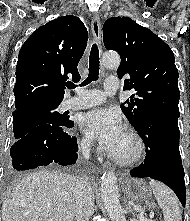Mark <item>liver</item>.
I'll use <instances>...</instances> for the list:
<instances>
[{"label": "liver", "mask_w": 190, "mask_h": 221, "mask_svg": "<svg viewBox=\"0 0 190 221\" xmlns=\"http://www.w3.org/2000/svg\"><path fill=\"white\" fill-rule=\"evenodd\" d=\"M76 178L39 170L18 179L3 205L2 221H73Z\"/></svg>", "instance_id": "obj_1"}]
</instances>
